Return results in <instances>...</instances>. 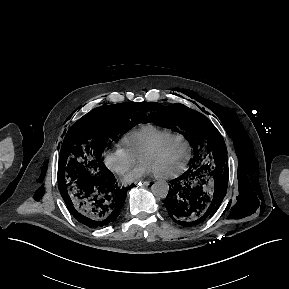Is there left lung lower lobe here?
<instances>
[{
    "instance_id": "left-lung-lower-lobe-1",
    "label": "left lung lower lobe",
    "mask_w": 289,
    "mask_h": 289,
    "mask_svg": "<svg viewBox=\"0 0 289 289\" xmlns=\"http://www.w3.org/2000/svg\"><path fill=\"white\" fill-rule=\"evenodd\" d=\"M227 185V164L213 171L206 165L190 167L171 181L164 201L166 212L179 225H197L215 214Z\"/></svg>"
}]
</instances>
